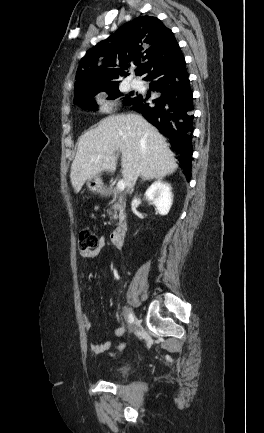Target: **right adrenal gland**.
<instances>
[{
  "mask_svg": "<svg viewBox=\"0 0 264 433\" xmlns=\"http://www.w3.org/2000/svg\"><path fill=\"white\" fill-rule=\"evenodd\" d=\"M150 180V178H143L142 180H141V183H143V182H145V181H149Z\"/></svg>",
  "mask_w": 264,
  "mask_h": 433,
  "instance_id": "obj_1",
  "label": "right adrenal gland"
}]
</instances>
